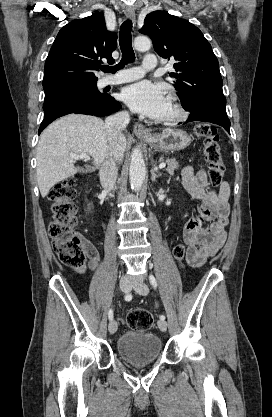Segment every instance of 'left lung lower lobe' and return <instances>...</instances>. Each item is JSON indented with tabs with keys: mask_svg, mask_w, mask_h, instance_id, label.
I'll use <instances>...</instances> for the list:
<instances>
[{
	"mask_svg": "<svg viewBox=\"0 0 272 417\" xmlns=\"http://www.w3.org/2000/svg\"><path fill=\"white\" fill-rule=\"evenodd\" d=\"M189 118L187 122L191 121H203V122H211L214 124H218L222 126L228 133H230V120L226 116L211 114L210 112L204 111V112H197L192 111L190 112Z\"/></svg>",
	"mask_w": 272,
	"mask_h": 417,
	"instance_id": "1",
	"label": "left lung lower lobe"
}]
</instances>
